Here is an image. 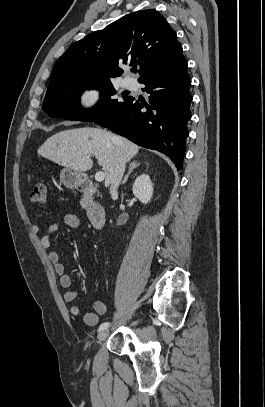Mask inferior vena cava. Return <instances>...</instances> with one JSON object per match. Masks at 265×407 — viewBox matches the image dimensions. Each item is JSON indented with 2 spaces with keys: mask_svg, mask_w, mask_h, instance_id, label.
Segmentation results:
<instances>
[{
  "mask_svg": "<svg viewBox=\"0 0 265 407\" xmlns=\"http://www.w3.org/2000/svg\"><path fill=\"white\" fill-rule=\"evenodd\" d=\"M117 140L118 139L115 136L112 137V141L114 143H116ZM125 167H126V161H125L120 149L117 148L116 153H115L114 168H113V172H112L111 179H110V184H111L110 193L111 194L117 193V188L123 177Z\"/></svg>",
  "mask_w": 265,
  "mask_h": 407,
  "instance_id": "602c4592",
  "label": "inferior vena cava"
}]
</instances>
